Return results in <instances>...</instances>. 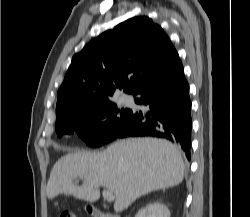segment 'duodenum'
Masks as SVG:
<instances>
[{
  "label": "duodenum",
  "mask_w": 250,
  "mask_h": 217,
  "mask_svg": "<svg viewBox=\"0 0 250 217\" xmlns=\"http://www.w3.org/2000/svg\"><path fill=\"white\" fill-rule=\"evenodd\" d=\"M87 210L92 217H120L118 215L105 213L95 206H88Z\"/></svg>",
  "instance_id": "1"
}]
</instances>
